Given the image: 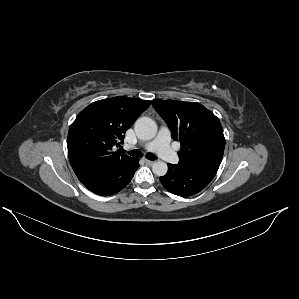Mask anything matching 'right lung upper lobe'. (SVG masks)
I'll return each mask as SVG.
<instances>
[{
	"label": "right lung upper lobe",
	"mask_w": 299,
	"mask_h": 299,
	"mask_svg": "<svg viewBox=\"0 0 299 299\" xmlns=\"http://www.w3.org/2000/svg\"><path fill=\"white\" fill-rule=\"evenodd\" d=\"M150 105V101L114 97L96 101L76 117L69 128L67 147L71 166L77 176L105 165L133 158L114 151L125 132Z\"/></svg>",
	"instance_id": "cb5924a9"
}]
</instances>
